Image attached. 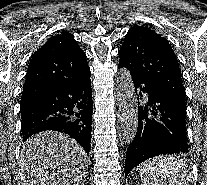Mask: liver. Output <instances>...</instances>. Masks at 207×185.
Segmentation results:
<instances>
[{"label":"liver","instance_id":"liver-1","mask_svg":"<svg viewBox=\"0 0 207 185\" xmlns=\"http://www.w3.org/2000/svg\"><path fill=\"white\" fill-rule=\"evenodd\" d=\"M89 159L75 139L42 131L23 143L17 163V185H80Z\"/></svg>","mask_w":207,"mask_h":185}]
</instances>
